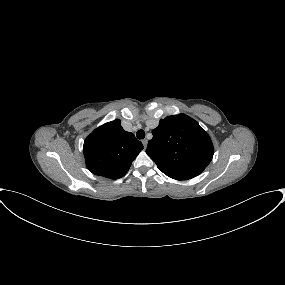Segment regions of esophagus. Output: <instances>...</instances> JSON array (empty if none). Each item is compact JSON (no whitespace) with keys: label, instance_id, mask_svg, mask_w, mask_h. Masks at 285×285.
Instances as JSON below:
<instances>
[{"label":"esophagus","instance_id":"esophagus-1","mask_svg":"<svg viewBox=\"0 0 285 285\" xmlns=\"http://www.w3.org/2000/svg\"><path fill=\"white\" fill-rule=\"evenodd\" d=\"M142 143H143L144 148L146 149L148 141L146 139H144V140H142Z\"/></svg>","mask_w":285,"mask_h":285}]
</instances>
